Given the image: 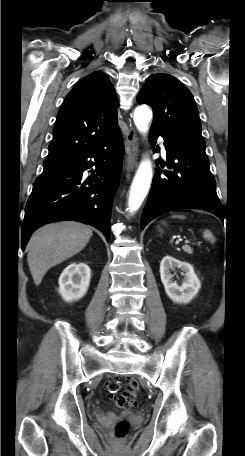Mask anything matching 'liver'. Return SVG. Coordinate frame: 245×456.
<instances>
[{"instance_id":"1","label":"liver","mask_w":245,"mask_h":456,"mask_svg":"<svg viewBox=\"0 0 245 456\" xmlns=\"http://www.w3.org/2000/svg\"><path fill=\"white\" fill-rule=\"evenodd\" d=\"M91 236V227L74 221L51 223L38 229L29 240L27 254L35 285H40L51 267L80 252Z\"/></svg>"}]
</instances>
